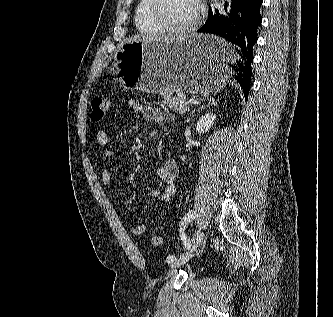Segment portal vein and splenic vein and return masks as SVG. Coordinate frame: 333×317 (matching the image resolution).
<instances>
[{"label":"portal vein and splenic vein","instance_id":"portal-vein-and-splenic-vein-1","mask_svg":"<svg viewBox=\"0 0 333 317\" xmlns=\"http://www.w3.org/2000/svg\"><path fill=\"white\" fill-rule=\"evenodd\" d=\"M187 103H188L189 105H192V104H195L196 101H195L194 99H189V100L187 101Z\"/></svg>","mask_w":333,"mask_h":317}]
</instances>
